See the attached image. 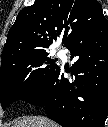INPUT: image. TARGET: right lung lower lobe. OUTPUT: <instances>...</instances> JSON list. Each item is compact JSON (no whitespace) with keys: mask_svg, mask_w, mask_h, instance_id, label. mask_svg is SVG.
Segmentation results:
<instances>
[{"mask_svg":"<svg viewBox=\"0 0 108 127\" xmlns=\"http://www.w3.org/2000/svg\"><path fill=\"white\" fill-rule=\"evenodd\" d=\"M74 78L60 67L24 101L44 106L62 127H103L108 110V22L105 17L77 35L67 46Z\"/></svg>","mask_w":108,"mask_h":127,"instance_id":"1","label":"right lung lower lobe"}]
</instances>
